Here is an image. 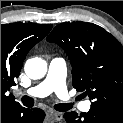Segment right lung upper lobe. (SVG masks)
<instances>
[{"label":"right lung upper lobe","mask_w":123,"mask_h":123,"mask_svg":"<svg viewBox=\"0 0 123 123\" xmlns=\"http://www.w3.org/2000/svg\"><path fill=\"white\" fill-rule=\"evenodd\" d=\"M51 24L11 23L1 25V108L20 105L8 91L20 74L30 49L51 30Z\"/></svg>","instance_id":"cb5924a9"}]
</instances>
